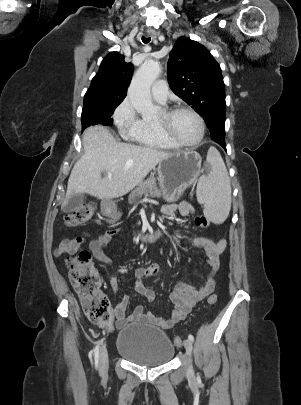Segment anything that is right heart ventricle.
<instances>
[{
	"mask_svg": "<svg viewBox=\"0 0 301 405\" xmlns=\"http://www.w3.org/2000/svg\"><path fill=\"white\" fill-rule=\"evenodd\" d=\"M129 138L137 144L164 150L177 149L178 146L164 138L157 130L155 122L140 120L139 125L132 131Z\"/></svg>",
	"mask_w": 301,
	"mask_h": 405,
	"instance_id": "right-heart-ventricle-1",
	"label": "right heart ventricle"
}]
</instances>
